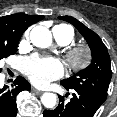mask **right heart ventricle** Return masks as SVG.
Segmentation results:
<instances>
[{
	"label": "right heart ventricle",
	"instance_id": "e07e8e85",
	"mask_svg": "<svg viewBox=\"0 0 117 117\" xmlns=\"http://www.w3.org/2000/svg\"><path fill=\"white\" fill-rule=\"evenodd\" d=\"M53 34L55 39L60 44H64V45L69 44L74 38L73 28L65 24H59L54 26Z\"/></svg>",
	"mask_w": 117,
	"mask_h": 117
}]
</instances>
